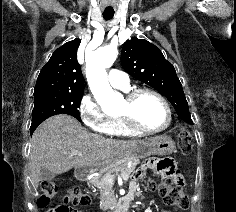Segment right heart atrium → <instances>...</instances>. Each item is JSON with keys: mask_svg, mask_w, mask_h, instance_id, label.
Masks as SVG:
<instances>
[{"mask_svg": "<svg viewBox=\"0 0 236 212\" xmlns=\"http://www.w3.org/2000/svg\"><path fill=\"white\" fill-rule=\"evenodd\" d=\"M82 121L92 130L105 133L109 117L101 110L97 101L89 94L82 97L79 104Z\"/></svg>", "mask_w": 236, "mask_h": 212, "instance_id": "right-heart-atrium-1", "label": "right heart atrium"}]
</instances>
